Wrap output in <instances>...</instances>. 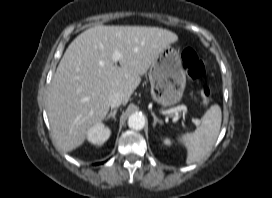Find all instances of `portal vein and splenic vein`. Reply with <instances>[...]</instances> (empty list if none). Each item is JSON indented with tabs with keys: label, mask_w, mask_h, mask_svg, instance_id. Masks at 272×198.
<instances>
[{
	"label": "portal vein and splenic vein",
	"mask_w": 272,
	"mask_h": 198,
	"mask_svg": "<svg viewBox=\"0 0 272 198\" xmlns=\"http://www.w3.org/2000/svg\"><path fill=\"white\" fill-rule=\"evenodd\" d=\"M121 55L119 52H115L113 54V60L114 62H117L119 59H120ZM178 111H186V107L185 106H178V107H175V108H172L170 110H167V111H163L162 113L163 114H172V113H176V116L174 117V121L178 120ZM193 122L196 124V125H199L200 124V120L198 119H193Z\"/></svg>",
	"instance_id": "1"
}]
</instances>
